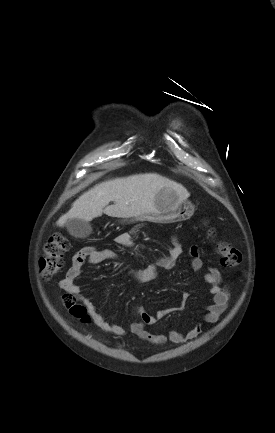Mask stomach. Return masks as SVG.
<instances>
[{
  "instance_id": "stomach-1",
  "label": "stomach",
  "mask_w": 275,
  "mask_h": 433,
  "mask_svg": "<svg viewBox=\"0 0 275 433\" xmlns=\"http://www.w3.org/2000/svg\"><path fill=\"white\" fill-rule=\"evenodd\" d=\"M156 212L136 217L155 223H175L189 219L194 213V205L179 199L176 192L165 188L155 196Z\"/></svg>"
}]
</instances>
